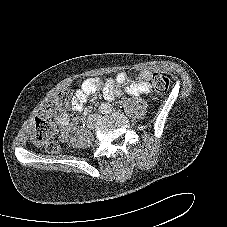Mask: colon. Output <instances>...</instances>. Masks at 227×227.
Instances as JSON below:
<instances>
[{
	"label": "colon",
	"instance_id": "colon-1",
	"mask_svg": "<svg viewBox=\"0 0 227 227\" xmlns=\"http://www.w3.org/2000/svg\"><path fill=\"white\" fill-rule=\"evenodd\" d=\"M152 86L158 93H166L170 87V80L161 73L152 75ZM70 94L62 91L55 96L45 99L40 107L41 114L34 120V129L31 133L32 142L49 153H57L60 149L54 138V128L49 118L59 109L67 106Z\"/></svg>",
	"mask_w": 227,
	"mask_h": 227
}]
</instances>
